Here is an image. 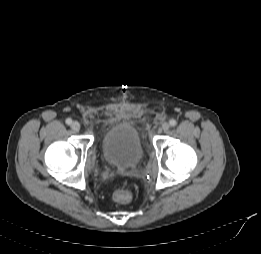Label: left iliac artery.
Here are the masks:
<instances>
[{
    "label": "left iliac artery",
    "mask_w": 261,
    "mask_h": 254,
    "mask_svg": "<svg viewBox=\"0 0 261 254\" xmlns=\"http://www.w3.org/2000/svg\"><path fill=\"white\" fill-rule=\"evenodd\" d=\"M169 123H170V125L171 126H176V124H177V121L175 120V119H171L170 121H169Z\"/></svg>",
    "instance_id": "obj_1"
}]
</instances>
